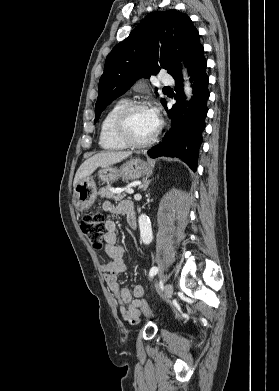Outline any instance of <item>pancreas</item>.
<instances>
[{
  "mask_svg": "<svg viewBox=\"0 0 279 391\" xmlns=\"http://www.w3.org/2000/svg\"><path fill=\"white\" fill-rule=\"evenodd\" d=\"M99 195L102 198L114 199L115 201H120L126 197L125 193L114 192L109 187L101 188L99 191Z\"/></svg>",
  "mask_w": 279,
  "mask_h": 391,
  "instance_id": "obj_1",
  "label": "pancreas"
}]
</instances>
